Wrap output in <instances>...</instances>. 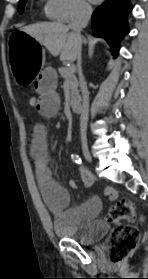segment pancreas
<instances>
[{"instance_id":"pancreas-1","label":"pancreas","mask_w":148,"mask_h":279,"mask_svg":"<svg viewBox=\"0 0 148 279\" xmlns=\"http://www.w3.org/2000/svg\"><path fill=\"white\" fill-rule=\"evenodd\" d=\"M74 72H69V68L66 67L59 68L61 77L69 83L72 102H76L79 99L78 80L74 75Z\"/></svg>"}]
</instances>
